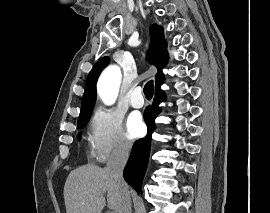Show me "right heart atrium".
Here are the masks:
<instances>
[{"label": "right heart atrium", "mask_w": 270, "mask_h": 213, "mask_svg": "<svg viewBox=\"0 0 270 213\" xmlns=\"http://www.w3.org/2000/svg\"><path fill=\"white\" fill-rule=\"evenodd\" d=\"M89 142L92 155L100 162L124 157L131 151V144L124 134L122 116L113 109L97 108L90 121Z\"/></svg>", "instance_id": "1"}]
</instances>
